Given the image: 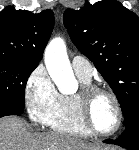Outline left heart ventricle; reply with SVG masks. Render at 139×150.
<instances>
[{"mask_svg": "<svg viewBox=\"0 0 139 150\" xmlns=\"http://www.w3.org/2000/svg\"><path fill=\"white\" fill-rule=\"evenodd\" d=\"M91 118L97 130L111 131L117 121V112L113 101L106 95H98L91 106Z\"/></svg>", "mask_w": 139, "mask_h": 150, "instance_id": "b2bd125f", "label": "left heart ventricle"}]
</instances>
